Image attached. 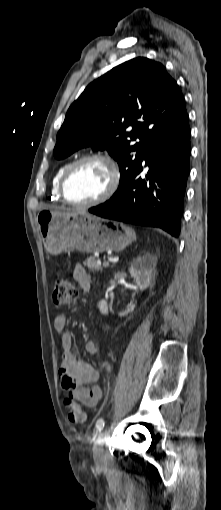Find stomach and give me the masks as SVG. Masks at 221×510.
Wrapping results in <instances>:
<instances>
[{
    "label": "stomach",
    "instance_id": "obj_1",
    "mask_svg": "<svg viewBox=\"0 0 221 510\" xmlns=\"http://www.w3.org/2000/svg\"><path fill=\"white\" fill-rule=\"evenodd\" d=\"M37 222L44 247L52 255L120 251L135 239L133 230L123 223L88 213L45 210L37 215Z\"/></svg>",
    "mask_w": 221,
    "mask_h": 510
}]
</instances>
